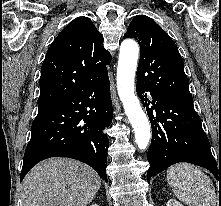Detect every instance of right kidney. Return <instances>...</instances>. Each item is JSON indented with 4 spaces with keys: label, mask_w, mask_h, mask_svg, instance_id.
<instances>
[{
    "label": "right kidney",
    "mask_w": 221,
    "mask_h": 206,
    "mask_svg": "<svg viewBox=\"0 0 221 206\" xmlns=\"http://www.w3.org/2000/svg\"><path fill=\"white\" fill-rule=\"evenodd\" d=\"M90 206H99V205H97V204H92V205H90Z\"/></svg>",
    "instance_id": "right-kidney-1"
}]
</instances>
